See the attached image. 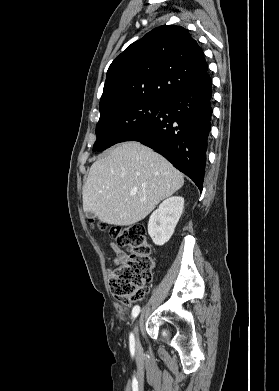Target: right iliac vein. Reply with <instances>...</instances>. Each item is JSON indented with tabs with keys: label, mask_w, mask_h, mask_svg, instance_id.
Instances as JSON below:
<instances>
[{
	"label": "right iliac vein",
	"mask_w": 279,
	"mask_h": 391,
	"mask_svg": "<svg viewBox=\"0 0 279 391\" xmlns=\"http://www.w3.org/2000/svg\"><path fill=\"white\" fill-rule=\"evenodd\" d=\"M138 331H139V326H138V321H136L135 326H134V333H135V336H136V343H138L137 342Z\"/></svg>",
	"instance_id": "1"
}]
</instances>
